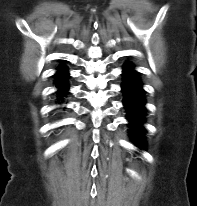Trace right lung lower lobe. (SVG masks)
<instances>
[{
	"instance_id": "98d812e1",
	"label": "right lung lower lobe",
	"mask_w": 197,
	"mask_h": 206,
	"mask_svg": "<svg viewBox=\"0 0 197 206\" xmlns=\"http://www.w3.org/2000/svg\"><path fill=\"white\" fill-rule=\"evenodd\" d=\"M55 77V87L57 88L56 95L58 97L57 103L62 104L64 102V97L68 94L69 85L68 78L69 73L66 67L59 68L58 72L54 75Z\"/></svg>"
}]
</instances>
